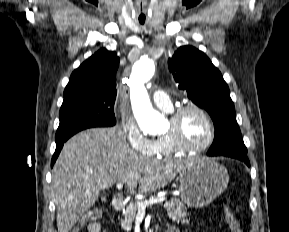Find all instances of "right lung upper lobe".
<instances>
[{"label":"right lung upper lobe","mask_w":289,"mask_h":232,"mask_svg":"<svg viewBox=\"0 0 289 232\" xmlns=\"http://www.w3.org/2000/svg\"><path fill=\"white\" fill-rule=\"evenodd\" d=\"M119 57L115 52L101 49L83 62L71 74L64 90V101L90 96L116 98V71Z\"/></svg>","instance_id":"right-lung-upper-lobe-1"}]
</instances>
